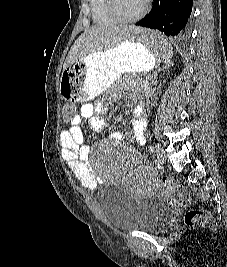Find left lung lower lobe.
<instances>
[{
	"mask_svg": "<svg viewBox=\"0 0 227 267\" xmlns=\"http://www.w3.org/2000/svg\"><path fill=\"white\" fill-rule=\"evenodd\" d=\"M193 0H154L148 15L135 25L157 29L164 33V42L170 44L169 37L183 38L189 25Z\"/></svg>",
	"mask_w": 227,
	"mask_h": 267,
	"instance_id": "left-lung-lower-lobe-1",
	"label": "left lung lower lobe"
}]
</instances>
